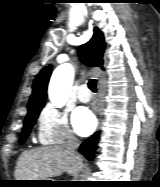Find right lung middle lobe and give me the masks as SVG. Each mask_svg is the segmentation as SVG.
I'll use <instances>...</instances> for the list:
<instances>
[{
	"instance_id": "right-lung-middle-lobe-1",
	"label": "right lung middle lobe",
	"mask_w": 160,
	"mask_h": 187,
	"mask_svg": "<svg viewBox=\"0 0 160 187\" xmlns=\"http://www.w3.org/2000/svg\"><path fill=\"white\" fill-rule=\"evenodd\" d=\"M40 113V110L37 111H33L27 114L26 118H25V122H24V127L22 129V133L20 136V143H23L27 136L29 135L38 115Z\"/></svg>"
}]
</instances>
